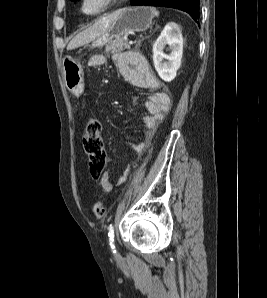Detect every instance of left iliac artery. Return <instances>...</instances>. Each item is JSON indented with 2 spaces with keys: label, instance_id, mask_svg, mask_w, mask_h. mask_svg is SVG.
Masks as SVG:
<instances>
[{
  "label": "left iliac artery",
  "instance_id": "left-iliac-artery-1",
  "mask_svg": "<svg viewBox=\"0 0 267 298\" xmlns=\"http://www.w3.org/2000/svg\"><path fill=\"white\" fill-rule=\"evenodd\" d=\"M108 236H109V243L112 251L115 253V245H114V227L112 224L109 225L108 227Z\"/></svg>",
  "mask_w": 267,
  "mask_h": 298
}]
</instances>
